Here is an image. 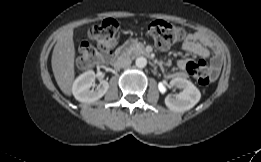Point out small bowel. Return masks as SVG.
Segmentation results:
<instances>
[{"instance_id":"c3829d8e","label":"small bowel","mask_w":261,"mask_h":162,"mask_svg":"<svg viewBox=\"0 0 261 162\" xmlns=\"http://www.w3.org/2000/svg\"><path fill=\"white\" fill-rule=\"evenodd\" d=\"M202 37L196 33H192L186 36L182 43V49L186 52L197 55L203 59H209L212 62L214 70L218 67V59L211 54V51L203 45L200 40ZM191 60L182 59L178 62V67L181 69H188Z\"/></svg>"}]
</instances>
